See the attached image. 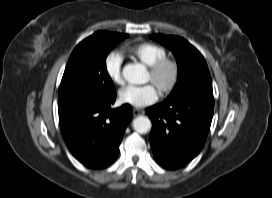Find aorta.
<instances>
[{"label":"aorta","mask_w":272,"mask_h":198,"mask_svg":"<svg viewBox=\"0 0 272 198\" xmlns=\"http://www.w3.org/2000/svg\"><path fill=\"white\" fill-rule=\"evenodd\" d=\"M122 74L131 84H143L147 78L146 67L139 63L125 65ZM133 128L137 133L145 134L151 129V121L146 116H138L133 120Z\"/></svg>","instance_id":"obj_1"}]
</instances>
